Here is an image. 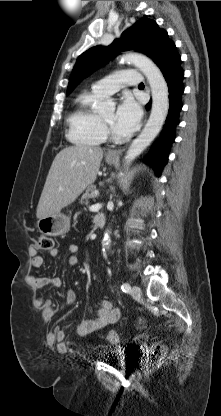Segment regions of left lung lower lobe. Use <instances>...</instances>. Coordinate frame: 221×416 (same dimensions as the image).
Wrapping results in <instances>:
<instances>
[{
    "label": "left lung lower lobe",
    "mask_w": 221,
    "mask_h": 416,
    "mask_svg": "<svg viewBox=\"0 0 221 416\" xmlns=\"http://www.w3.org/2000/svg\"><path fill=\"white\" fill-rule=\"evenodd\" d=\"M150 58L163 73L169 90L170 106L163 131L151 153L145 158V162L154 168L157 176H160L167 163L170 146L175 140V128L179 124V112L182 109L181 96L184 92L182 85L184 72L180 67L181 58L176 52L175 44L168 39L167 32L161 36ZM149 107L150 102L146 105L147 109Z\"/></svg>",
    "instance_id": "obj_1"
}]
</instances>
